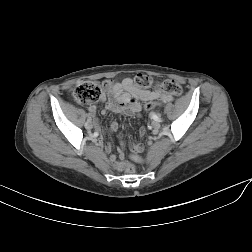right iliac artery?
I'll list each match as a JSON object with an SVG mask.
<instances>
[{
    "instance_id": "obj_1",
    "label": "right iliac artery",
    "mask_w": 252,
    "mask_h": 252,
    "mask_svg": "<svg viewBox=\"0 0 252 252\" xmlns=\"http://www.w3.org/2000/svg\"><path fill=\"white\" fill-rule=\"evenodd\" d=\"M93 137L94 138H99L100 137V132L99 131H94L93 132Z\"/></svg>"
}]
</instances>
